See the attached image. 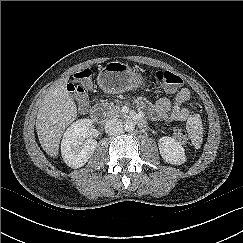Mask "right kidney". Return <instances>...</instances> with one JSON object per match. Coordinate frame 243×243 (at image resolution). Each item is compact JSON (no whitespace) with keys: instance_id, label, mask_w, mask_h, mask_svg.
Instances as JSON below:
<instances>
[{"instance_id":"ca27d5eb","label":"right kidney","mask_w":243,"mask_h":243,"mask_svg":"<svg viewBox=\"0 0 243 243\" xmlns=\"http://www.w3.org/2000/svg\"><path fill=\"white\" fill-rule=\"evenodd\" d=\"M91 129L92 120L85 118L73 122L64 132L61 141V155L69 167L80 168L93 155L97 141L89 138Z\"/></svg>"}]
</instances>
